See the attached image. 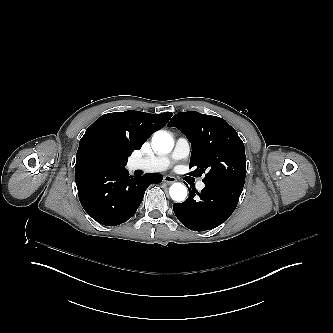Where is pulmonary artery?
Instances as JSON below:
<instances>
[{
    "mask_svg": "<svg viewBox=\"0 0 333 333\" xmlns=\"http://www.w3.org/2000/svg\"><path fill=\"white\" fill-rule=\"evenodd\" d=\"M191 152L190 143L185 137H179L176 140L173 151L167 155H156L152 158L147 159L143 167L147 171H166L177 161L186 159L189 157ZM203 178V177H202ZM204 186L202 180L197 183L198 189H202ZM167 191V189H165Z\"/></svg>",
    "mask_w": 333,
    "mask_h": 333,
    "instance_id": "pulmonary-artery-1",
    "label": "pulmonary artery"
}]
</instances>
